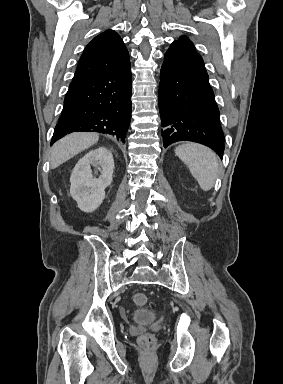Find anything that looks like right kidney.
I'll use <instances>...</instances> for the list:
<instances>
[{
    "mask_svg": "<svg viewBox=\"0 0 283 384\" xmlns=\"http://www.w3.org/2000/svg\"><path fill=\"white\" fill-rule=\"evenodd\" d=\"M91 166L101 172L94 178ZM114 160L110 150L97 148L85 154L76 164L70 178V194L82 212H94L105 198V188L112 182Z\"/></svg>",
    "mask_w": 283,
    "mask_h": 384,
    "instance_id": "ca27d5eb",
    "label": "right kidney"
}]
</instances>
